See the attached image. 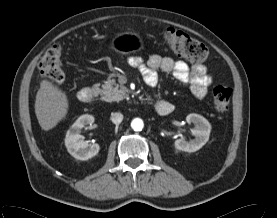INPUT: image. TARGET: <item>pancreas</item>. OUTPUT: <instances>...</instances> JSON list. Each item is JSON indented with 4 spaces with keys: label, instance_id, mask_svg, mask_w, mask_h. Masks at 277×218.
<instances>
[{
    "label": "pancreas",
    "instance_id": "pancreas-1",
    "mask_svg": "<svg viewBox=\"0 0 277 218\" xmlns=\"http://www.w3.org/2000/svg\"><path fill=\"white\" fill-rule=\"evenodd\" d=\"M99 84H95L93 87L99 89ZM128 89L125 86H120L116 84L115 80H107L100 89V95L103 100L112 102V101H121L128 97Z\"/></svg>",
    "mask_w": 277,
    "mask_h": 218
}]
</instances>
